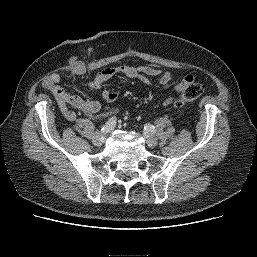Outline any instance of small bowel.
<instances>
[{
	"label": "small bowel",
	"mask_w": 257,
	"mask_h": 257,
	"mask_svg": "<svg viewBox=\"0 0 257 257\" xmlns=\"http://www.w3.org/2000/svg\"><path fill=\"white\" fill-rule=\"evenodd\" d=\"M81 74V69L73 71V75L75 76ZM117 75L137 79L145 84H150L149 77L160 75L159 84L161 86H167L174 79V76L170 71H160L150 66L121 65L106 68L99 72L89 83V86L92 89H99L105 82ZM60 79L61 78L58 74H53L48 77L47 82L49 83L48 88L56 98L64 117L68 120H74L76 117L75 112L72 111L69 106L85 113L91 118L95 117L101 109L100 103L95 100H85L82 97L69 92L67 89L57 84ZM190 81H193V77L191 75H187L181 82L175 85L174 90L176 92H182L185 85ZM102 98L107 103H112L118 98V92L113 90H104L102 92ZM171 102L172 98H167L164 100V105H169Z\"/></svg>",
	"instance_id": "c3829d8e"
}]
</instances>
